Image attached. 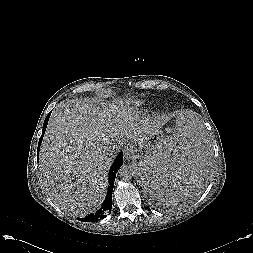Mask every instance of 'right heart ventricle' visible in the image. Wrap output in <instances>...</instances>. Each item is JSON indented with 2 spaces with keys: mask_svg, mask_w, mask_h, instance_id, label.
I'll return each mask as SVG.
<instances>
[{
  "mask_svg": "<svg viewBox=\"0 0 253 253\" xmlns=\"http://www.w3.org/2000/svg\"><path fill=\"white\" fill-rule=\"evenodd\" d=\"M142 104H143L142 101H139V102L137 103V105H138L139 107H140Z\"/></svg>",
  "mask_w": 253,
  "mask_h": 253,
  "instance_id": "e07e8e85",
  "label": "right heart ventricle"
}]
</instances>
